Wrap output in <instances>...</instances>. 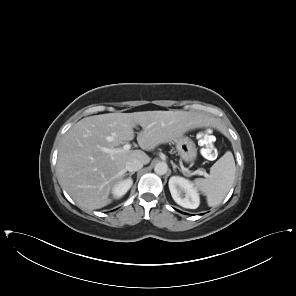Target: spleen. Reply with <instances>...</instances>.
Instances as JSON below:
<instances>
[{
	"label": "spleen",
	"mask_w": 296,
	"mask_h": 296,
	"mask_svg": "<svg viewBox=\"0 0 296 296\" xmlns=\"http://www.w3.org/2000/svg\"><path fill=\"white\" fill-rule=\"evenodd\" d=\"M235 161L231 151H227L210 168L208 178L194 180L195 187L207 197L210 207L219 205L232 187L235 177Z\"/></svg>",
	"instance_id": "obj_1"
}]
</instances>
